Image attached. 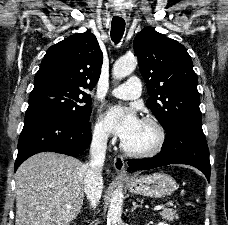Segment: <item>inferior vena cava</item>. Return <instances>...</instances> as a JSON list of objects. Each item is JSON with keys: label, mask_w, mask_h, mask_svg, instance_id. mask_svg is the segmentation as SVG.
Returning <instances> with one entry per match:
<instances>
[{"label": "inferior vena cava", "mask_w": 228, "mask_h": 225, "mask_svg": "<svg viewBox=\"0 0 228 225\" xmlns=\"http://www.w3.org/2000/svg\"><path fill=\"white\" fill-rule=\"evenodd\" d=\"M107 147L106 133L97 131L94 133L91 147L90 159L84 165L85 179H84V193L90 201V207L96 209L102 195L103 177L102 169L105 161Z\"/></svg>", "instance_id": "inferior-vena-cava-1"}]
</instances>
